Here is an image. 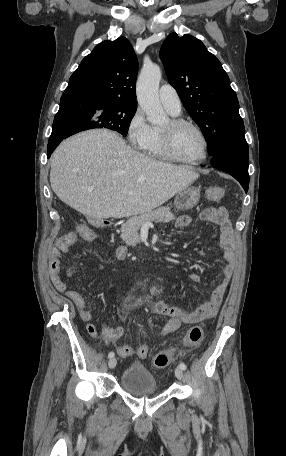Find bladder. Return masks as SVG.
I'll use <instances>...</instances> for the list:
<instances>
[{
  "mask_svg": "<svg viewBox=\"0 0 286 456\" xmlns=\"http://www.w3.org/2000/svg\"><path fill=\"white\" fill-rule=\"evenodd\" d=\"M121 387L136 396L154 395L159 392L156 379L140 363H132L120 377Z\"/></svg>",
  "mask_w": 286,
  "mask_h": 456,
  "instance_id": "1",
  "label": "bladder"
}]
</instances>
